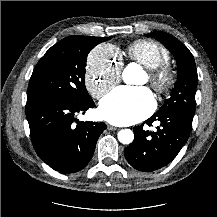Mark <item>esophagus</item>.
<instances>
[{"label": "esophagus", "instance_id": "1", "mask_svg": "<svg viewBox=\"0 0 217 217\" xmlns=\"http://www.w3.org/2000/svg\"><path fill=\"white\" fill-rule=\"evenodd\" d=\"M108 130H117V127L112 126V125H107Z\"/></svg>", "mask_w": 217, "mask_h": 217}]
</instances>
